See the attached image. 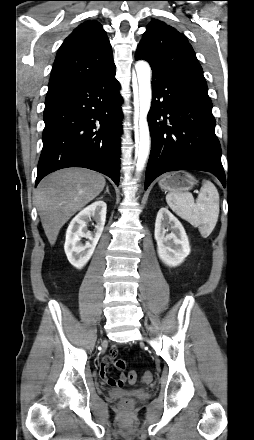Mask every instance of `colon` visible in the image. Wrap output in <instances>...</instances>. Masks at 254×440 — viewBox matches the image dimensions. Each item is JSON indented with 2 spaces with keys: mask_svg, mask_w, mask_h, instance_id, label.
<instances>
[{
  "mask_svg": "<svg viewBox=\"0 0 254 440\" xmlns=\"http://www.w3.org/2000/svg\"><path fill=\"white\" fill-rule=\"evenodd\" d=\"M114 367L119 370V371H123L126 367V362L123 359H116L114 362ZM153 379L152 373L150 371H146L144 372L143 376H142V381L144 383H150ZM138 380V375L135 371H131L128 374V382L131 384L136 383ZM126 382V378L125 377H120L119 379L116 380V385L117 386H122L124 385V383ZM132 402L130 399H125L123 401V407L125 409L130 408Z\"/></svg>",
  "mask_w": 254,
  "mask_h": 440,
  "instance_id": "1",
  "label": "colon"
}]
</instances>
